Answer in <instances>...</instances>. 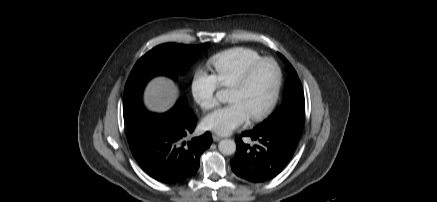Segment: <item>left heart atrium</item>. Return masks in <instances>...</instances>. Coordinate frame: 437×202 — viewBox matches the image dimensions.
I'll use <instances>...</instances> for the list:
<instances>
[{
	"label": "left heart atrium",
	"instance_id": "39dd6f15",
	"mask_svg": "<svg viewBox=\"0 0 437 202\" xmlns=\"http://www.w3.org/2000/svg\"><path fill=\"white\" fill-rule=\"evenodd\" d=\"M248 115L239 102H232L221 107L203 119V127L221 135L231 133L248 120Z\"/></svg>",
	"mask_w": 437,
	"mask_h": 202
}]
</instances>
